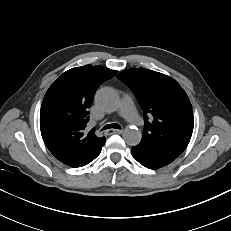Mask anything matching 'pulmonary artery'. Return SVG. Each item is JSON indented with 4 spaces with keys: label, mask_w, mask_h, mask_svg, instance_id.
Here are the masks:
<instances>
[{
    "label": "pulmonary artery",
    "mask_w": 231,
    "mask_h": 231,
    "mask_svg": "<svg viewBox=\"0 0 231 231\" xmlns=\"http://www.w3.org/2000/svg\"><path fill=\"white\" fill-rule=\"evenodd\" d=\"M120 115L127 121L139 124L140 120L137 116L132 98L129 95H124L120 105Z\"/></svg>",
    "instance_id": "pulmonary-artery-1"
}]
</instances>
